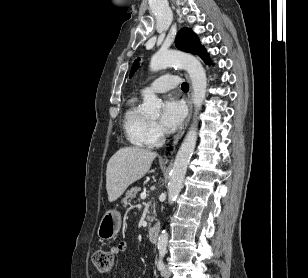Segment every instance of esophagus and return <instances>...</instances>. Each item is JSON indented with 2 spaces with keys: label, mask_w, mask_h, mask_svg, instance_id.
<instances>
[{
  "label": "esophagus",
  "mask_w": 308,
  "mask_h": 278,
  "mask_svg": "<svg viewBox=\"0 0 308 278\" xmlns=\"http://www.w3.org/2000/svg\"><path fill=\"white\" fill-rule=\"evenodd\" d=\"M187 79H188V82L190 84V80H189L188 77H187ZM187 105H188L187 117H186L184 123L182 124V126L180 127L179 131L177 132V134L174 136L173 146H175L180 141V139L183 137V135L186 131V128H187V126L190 122V119H191V115H192V87H191V84H190V88H189L188 96H187ZM164 158H165V156H164Z\"/></svg>",
  "instance_id": "esophagus-1"
}]
</instances>
